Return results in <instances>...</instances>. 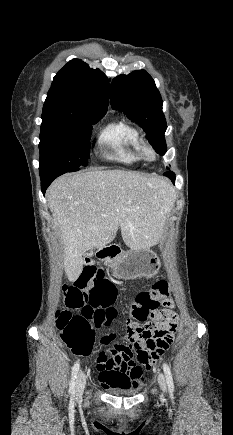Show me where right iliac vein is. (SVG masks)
Instances as JSON below:
<instances>
[{"label": "right iliac vein", "instance_id": "63e3f726", "mask_svg": "<svg viewBox=\"0 0 233 435\" xmlns=\"http://www.w3.org/2000/svg\"><path fill=\"white\" fill-rule=\"evenodd\" d=\"M86 384L85 374L80 372L76 379V398L79 399L82 397L84 388Z\"/></svg>", "mask_w": 233, "mask_h": 435}]
</instances>
